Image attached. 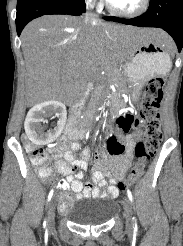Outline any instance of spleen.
Instances as JSON below:
<instances>
[{
    "mask_svg": "<svg viewBox=\"0 0 183 246\" xmlns=\"http://www.w3.org/2000/svg\"><path fill=\"white\" fill-rule=\"evenodd\" d=\"M147 61L146 56H138L134 61H133V66L136 67L140 64H143ZM171 68V63L169 64V67L167 69V72L170 70Z\"/></svg>",
    "mask_w": 183,
    "mask_h": 246,
    "instance_id": "obj_1",
    "label": "spleen"
}]
</instances>
